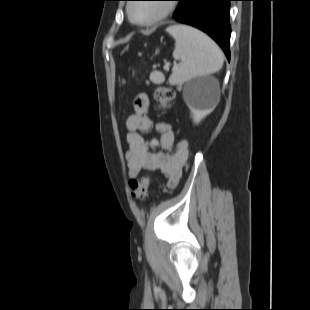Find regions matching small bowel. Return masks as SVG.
<instances>
[{
    "label": "small bowel",
    "mask_w": 310,
    "mask_h": 310,
    "mask_svg": "<svg viewBox=\"0 0 310 310\" xmlns=\"http://www.w3.org/2000/svg\"><path fill=\"white\" fill-rule=\"evenodd\" d=\"M149 107V94L140 92L134 99L133 112L127 118L126 140L129 148L125 157L128 176L134 179L142 170L159 171L172 188L182 177L189 144L185 138L176 140L169 124H154L148 116ZM154 126L160 137L145 138L143 134L150 132Z\"/></svg>",
    "instance_id": "small-bowel-1"
}]
</instances>
